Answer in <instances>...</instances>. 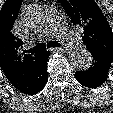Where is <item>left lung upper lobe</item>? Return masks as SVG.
I'll list each match as a JSON object with an SVG mask.
<instances>
[{
  "instance_id": "left-lung-upper-lobe-1",
  "label": "left lung upper lobe",
  "mask_w": 113,
  "mask_h": 113,
  "mask_svg": "<svg viewBox=\"0 0 113 113\" xmlns=\"http://www.w3.org/2000/svg\"><path fill=\"white\" fill-rule=\"evenodd\" d=\"M73 24L83 28L82 41L95 56L113 60L112 29L95 0H58Z\"/></svg>"
}]
</instances>
